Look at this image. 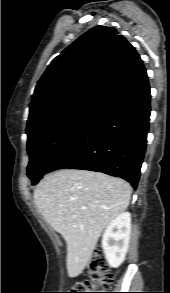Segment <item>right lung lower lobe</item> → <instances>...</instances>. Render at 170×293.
<instances>
[{
  "instance_id": "98d812e1",
  "label": "right lung lower lobe",
  "mask_w": 170,
  "mask_h": 293,
  "mask_svg": "<svg viewBox=\"0 0 170 293\" xmlns=\"http://www.w3.org/2000/svg\"><path fill=\"white\" fill-rule=\"evenodd\" d=\"M148 77L101 105L86 131L51 165L121 177L136 188L146 150L150 117Z\"/></svg>"
}]
</instances>
